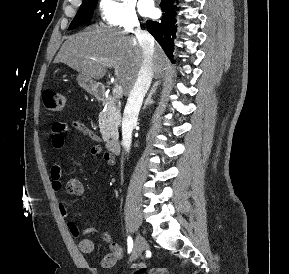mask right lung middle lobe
I'll use <instances>...</instances> for the list:
<instances>
[{
    "instance_id": "right-lung-middle-lobe-1",
    "label": "right lung middle lobe",
    "mask_w": 289,
    "mask_h": 274,
    "mask_svg": "<svg viewBox=\"0 0 289 274\" xmlns=\"http://www.w3.org/2000/svg\"><path fill=\"white\" fill-rule=\"evenodd\" d=\"M98 0H83V3L72 20L69 29L76 28L89 22L92 18L93 11L96 8Z\"/></svg>"
}]
</instances>
